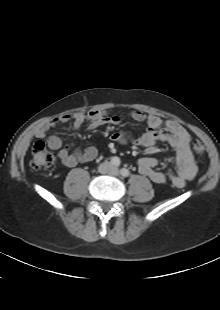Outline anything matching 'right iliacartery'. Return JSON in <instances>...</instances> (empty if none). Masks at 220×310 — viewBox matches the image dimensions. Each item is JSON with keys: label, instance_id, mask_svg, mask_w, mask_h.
I'll use <instances>...</instances> for the list:
<instances>
[{"label": "right iliac artery", "instance_id": "1", "mask_svg": "<svg viewBox=\"0 0 220 310\" xmlns=\"http://www.w3.org/2000/svg\"><path fill=\"white\" fill-rule=\"evenodd\" d=\"M111 164L114 165V166H119L120 165V159L118 157H112L111 159Z\"/></svg>", "mask_w": 220, "mask_h": 310}]
</instances>
